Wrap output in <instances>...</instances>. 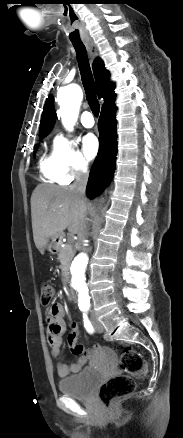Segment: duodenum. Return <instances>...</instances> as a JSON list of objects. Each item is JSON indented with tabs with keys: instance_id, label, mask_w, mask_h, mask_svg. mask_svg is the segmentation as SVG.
Instances as JSON below:
<instances>
[{
	"instance_id": "duodenum-1",
	"label": "duodenum",
	"mask_w": 183,
	"mask_h": 438,
	"mask_svg": "<svg viewBox=\"0 0 183 438\" xmlns=\"http://www.w3.org/2000/svg\"><path fill=\"white\" fill-rule=\"evenodd\" d=\"M69 297L72 301H76V293L72 288H68Z\"/></svg>"
}]
</instances>
